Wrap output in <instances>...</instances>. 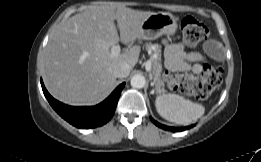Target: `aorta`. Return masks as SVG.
<instances>
[{"label": "aorta", "mask_w": 261, "mask_h": 162, "mask_svg": "<svg viewBox=\"0 0 261 162\" xmlns=\"http://www.w3.org/2000/svg\"><path fill=\"white\" fill-rule=\"evenodd\" d=\"M131 86L133 88H137V89H141L145 86V77L143 75H134L132 78H131Z\"/></svg>", "instance_id": "1"}]
</instances>
